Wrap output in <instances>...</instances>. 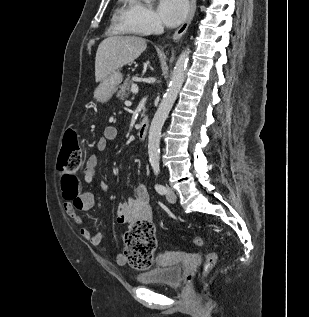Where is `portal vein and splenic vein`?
Instances as JSON below:
<instances>
[{"mask_svg": "<svg viewBox=\"0 0 309 317\" xmlns=\"http://www.w3.org/2000/svg\"><path fill=\"white\" fill-rule=\"evenodd\" d=\"M138 85H136V84H133L132 86H131V91H132V93H134V94H137L138 93Z\"/></svg>", "mask_w": 309, "mask_h": 317, "instance_id": "obj_1", "label": "portal vein and splenic vein"}]
</instances>
